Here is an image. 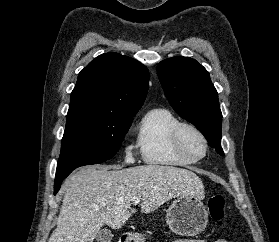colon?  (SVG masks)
Returning a JSON list of instances; mask_svg holds the SVG:
<instances>
[{"mask_svg":"<svg viewBox=\"0 0 279 242\" xmlns=\"http://www.w3.org/2000/svg\"><path fill=\"white\" fill-rule=\"evenodd\" d=\"M224 198L220 194L213 195L208 200V212L211 219L220 221L224 217Z\"/></svg>","mask_w":279,"mask_h":242,"instance_id":"obj_1","label":"colon"}]
</instances>
